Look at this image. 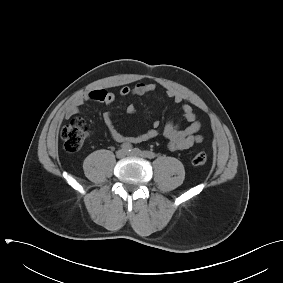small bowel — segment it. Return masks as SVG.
I'll use <instances>...</instances> for the list:
<instances>
[{
    "instance_id": "obj_1",
    "label": "small bowel",
    "mask_w": 283,
    "mask_h": 283,
    "mask_svg": "<svg viewBox=\"0 0 283 283\" xmlns=\"http://www.w3.org/2000/svg\"><path fill=\"white\" fill-rule=\"evenodd\" d=\"M156 89L157 85L154 83L139 82L133 87H122L120 94L122 96H142L152 93L156 91ZM166 95L172 99L175 104L180 105L183 118L189 123L186 128L180 129L175 121L169 120L163 130H160V122L155 120L152 128L148 131L136 136H126L115 128L110 113L106 112L103 115V120L110 136L117 142L141 143L163 135L168 142V148L172 151L186 150L195 144L201 143L203 141V136L199 134L201 122L197 119L193 107L189 104L183 103V97L174 90H167ZM87 101L111 104L115 101V94L104 89L90 91L75 99L68 106L65 113L66 118H70L77 114L80 107ZM126 110L129 114H134L136 112V107L133 104H129Z\"/></svg>"
}]
</instances>
